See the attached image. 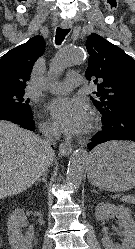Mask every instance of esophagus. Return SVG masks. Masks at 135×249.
<instances>
[{"label": "esophagus", "instance_id": "1", "mask_svg": "<svg viewBox=\"0 0 135 249\" xmlns=\"http://www.w3.org/2000/svg\"><path fill=\"white\" fill-rule=\"evenodd\" d=\"M61 27L64 29H68L72 27V22L70 20H63L61 22ZM73 147L70 143L64 142L59 146V153L63 156L68 155L72 151Z\"/></svg>", "mask_w": 135, "mask_h": 249}]
</instances>
